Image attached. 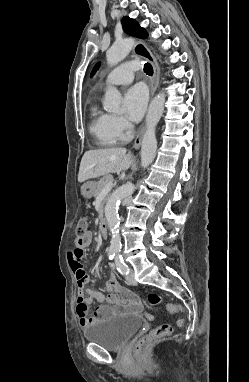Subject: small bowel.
I'll use <instances>...</instances> for the list:
<instances>
[{
    "label": "small bowel",
    "instance_id": "c3829d8e",
    "mask_svg": "<svg viewBox=\"0 0 249 382\" xmlns=\"http://www.w3.org/2000/svg\"><path fill=\"white\" fill-rule=\"evenodd\" d=\"M91 241L92 234L88 232L83 241L76 239L73 252L67 253V258L69 259L77 281L78 296L76 298V313L79 317L80 326L84 328L98 320L107 318L113 313L138 312L141 309L140 300L128 290L124 289L115 276H111L105 284L108 293L107 296L102 292L95 291L91 287L86 286L89 282L88 274L80 276L78 272L83 268L81 264L83 261V252L85 248L91 244ZM83 292L87 294V297L83 295ZM93 301L98 303L106 301L113 305V308L110 309L107 306L99 305L94 310L93 315L88 316V307Z\"/></svg>",
    "mask_w": 249,
    "mask_h": 382
}]
</instances>
